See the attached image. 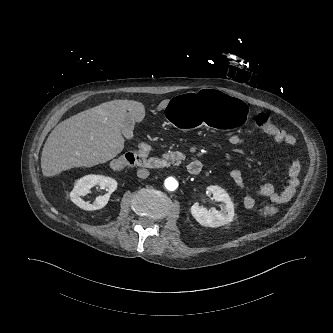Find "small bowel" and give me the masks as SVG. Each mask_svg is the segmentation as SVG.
I'll return each mask as SVG.
<instances>
[{"mask_svg": "<svg viewBox=\"0 0 333 333\" xmlns=\"http://www.w3.org/2000/svg\"><path fill=\"white\" fill-rule=\"evenodd\" d=\"M277 128L278 133L272 137L276 144H285L289 147H292L296 144V138L292 134L288 133L283 128ZM228 140L232 146H242L245 143L243 137L237 134L231 135ZM143 144L145 143H141L140 146ZM300 168L301 164L298 155H293L288 170V180L285 188L281 191H277L270 183L262 184L255 189L253 194L246 195L244 197V206L248 209L253 208L258 198H268L275 203H284L289 201L298 186V175L300 173ZM229 176L238 187H245V178L241 170L233 169L230 171Z\"/></svg>", "mask_w": 333, "mask_h": 333, "instance_id": "small-bowel-1", "label": "small bowel"}]
</instances>
